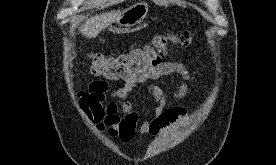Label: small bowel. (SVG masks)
Listing matches in <instances>:
<instances>
[{"label":"small bowel","instance_id":"small-bowel-1","mask_svg":"<svg viewBox=\"0 0 276 165\" xmlns=\"http://www.w3.org/2000/svg\"><path fill=\"white\" fill-rule=\"evenodd\" d=\"M172 74H179L183 78L184 82L173 92L176 99H182L187 94L188 81L194 80V76L179 62H162L150 75L127 80L120 87H112L102 80L91 82L87 91L78 94L80 108L100 132H106L124 144L130 143L137 133L141 137L158 135L183 119L185 111L179 107L165 108L161 91L157 87L146 86L157 108L139 125L140 115L133 109L128 97L139 84Z\"/></svg>","mask_w":276,"mask_h":165}]
</instances>
